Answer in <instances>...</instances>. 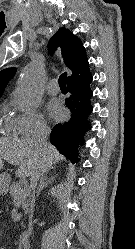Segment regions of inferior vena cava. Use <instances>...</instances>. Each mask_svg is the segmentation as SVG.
I'll use <instances>...</instances> for the list:
<instances>
[{
    "label": "inferior vena cava",
    "instance_id": "inferior-vena-cava-1",
    "mask_svg": "<svg viewBox=\"0 0 135 249\" xmlns=\"http://www.w3.org/2000/svg\"><path fill=\"white\" fill-rule=\"evenodd\" d=\"M49 134H50V129L47 126H41L34 134L32 140L40 149H45L48 145L47 140ZM42 173H43L42 168H39L31 176V189L33 192L31 195V205H30V215H29L30 222L28 225V235L32 233V215L35 206V193H36L37 183L40 177L42 176Z\"/></svg>",
    "mask_w": 135,
    "mask_h": 249
}]
</instances>
